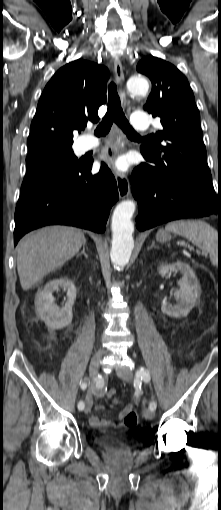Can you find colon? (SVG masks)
<instances>
[{"instance_id":"colon-1","label":"colon","mask_w":221,"mask_h":510,"mask_svg":"<svg viewBox=\"0 0 221 510\" xmlns=\"http://www.w3.org/2000/svg\"><path fill=\"white\" fill-rule=\"evenodd\" d=\"M116 394V390L114 388H111L109 391H108V396L109 397H114ZM114 403L115 404H119V400H114ZM137 421H138V415L137 413L134 411V410H131L125 417V425L128 426V427H134L136 424H137Z\"/></svg>"}]
</instances>
